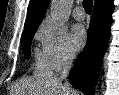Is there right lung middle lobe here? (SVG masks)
Wrapping results in <instances>:
<instances>
[{
	"label": "right lung middle lobe",
	"mask_w": 119,
	"mask_h": 95,
	"mask_svg": "<svg viewBox=\"0 0 119 95\" xmlns=\"http://www.w3.org/2000/svg\"><path fill=\"white\" fill-rule=\"evenodd\" d=\"M36 30L37 29L23 33L21 36V44L24 50L25 58L27 59L30 57V54H31L30 45H31V41H32V38Z\"/></svg>",
	"instance_id": "right-lung-middle-lobe-1"
}]
</instances>
